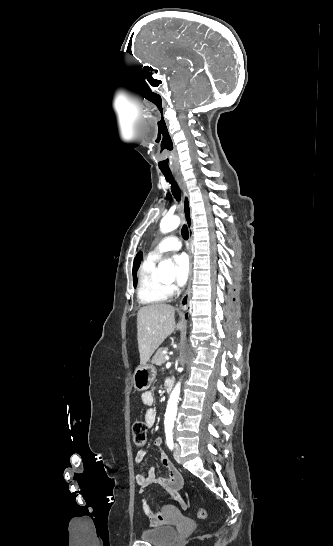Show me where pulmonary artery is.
<instances>
[{
  "label": "pulmonary artery",
  "instance_id": "e3ab8cb5",
  "mask_svg": "<svg viewBox=\"0 0 333 546\" xmlns=\"http://www.w3.org/2000/svg\"><path fill=\"white\" fill-rule=\"evenodd\" d=\"M181 242L174 236H167L157 245V247L149 254L152 259H158L163 253L169 251H177L181 249Z\"/></svg>",
  "mask_w": 333,
  "mask_h": 546
}]
</instances>
